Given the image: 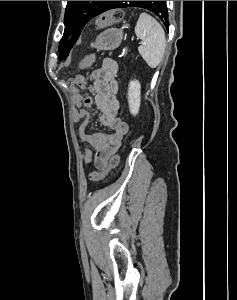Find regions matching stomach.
<instances>
[{
  "instance_id": "stomach-1",
  "label": "stomach",
  "mask_w": 237,
  "mask_h": 300,
  "mask_svg": "<svg viewBox=\"0 0 237 300\" xmlns=\"http://www.w3.org/2000/svg\"><path fill=\"white\" fill-rule=\"evenodd\" d=\"M123 37L122 29H107V31H103L96 37L91 47H94L97 51H114L121 45Z\"/></svg>"
}]
</instances>
